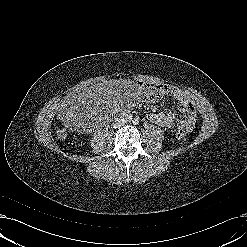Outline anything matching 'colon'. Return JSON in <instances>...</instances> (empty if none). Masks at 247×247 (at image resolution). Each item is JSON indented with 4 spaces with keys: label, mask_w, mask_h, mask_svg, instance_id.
Segmentation results:
<instances>
[{
    "label": "colon",
    "mask_w": 247,
    "mask_h": 247,
    "mask_svg": "<svg viewBox=\"0 0 247 247\" xmlns=\"http://www.w3.org/2000/svg\"><path fill=\"white\" fill-rule=\"evenodd\" d=\"M143 91L147 100H154L159 97L158 88L155 85L146 84L143 85ZM186 130L178 129L175 132V136L177 139H183L186 136ZM56 135L58 138L64 139L67 137L68 132L64 126H59L56 129Z\"/></svg>",
    "instance_id": "obj_1"
}]
</instances>
